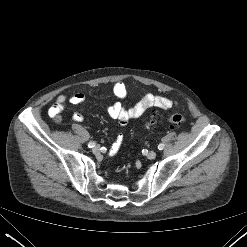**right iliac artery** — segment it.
I'll list each match as a JSON object with an SVG mask.
<instances>
[{
    "instance_id": "82829eb1",
    "label": "right iliac artery",
    "mask_w": 247,
    "mask_h": 247,
    "mask_svg": "<svg viewBox=\"0 0 247 247\" xmlns=\"http://www.w3.org/2000/svg\"><path fill=\"white\" fill-rule=\"evenodd\" d=\"M95 144H96L95 142H89L88 143V147L89 148H93L95 146Z\"/></svg>"
}]
</instances>
